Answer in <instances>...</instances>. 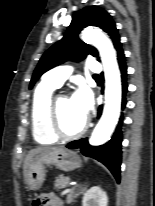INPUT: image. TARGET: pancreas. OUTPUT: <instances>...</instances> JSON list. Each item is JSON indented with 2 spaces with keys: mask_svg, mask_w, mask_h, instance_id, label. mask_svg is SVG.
<instances>
[{
  "mask_svg": "<svg viewBox=\"0 0 155 206\" xmlns=\"http://www.w3.org/2000/svg\"><path fill=\"white\" fill-rule=\"evenodd\" d=\"M69 181H70L69 177L64 175H59V177H57L55 180V188L56 189L64 188L67 186Z\"/></svg>",
  "mask_w": 155,
  "mask_h": 206,
  "instance_id": "obj_1",
  "label": "pancreas"
}]
</instances>
